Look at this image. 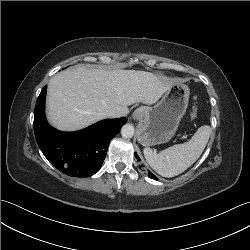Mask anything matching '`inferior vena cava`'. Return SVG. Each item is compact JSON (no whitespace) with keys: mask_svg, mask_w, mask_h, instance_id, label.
<instances>
[{"mask_svg":"<svg viewBox=\"0 0 250 250\" xmlns=\"http://www.w3.org/2000/svg\"><path fill=\"white\" fill-rule=\"evenodd\" d=\"M105 115L108 118H118V117L121 116L117 111H114V110L113 111H107Z\"/></svg>","mask_w":250,"mask_h":250,"instance_id":"inferior-vena-cava-1","label":"inferior vena cava"}]
</instances>
